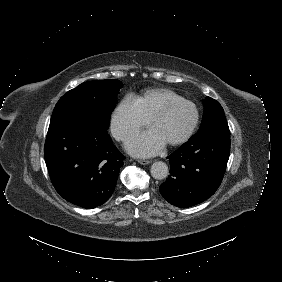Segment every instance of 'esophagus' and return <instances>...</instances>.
Wrapping results in <instances>:
<instances>
[{
  "label": "esophagus",
  "mask_w": 282,
  "mask_h": 282,
  "mask_svg": "<svg viewBox=\"0 0 282 282\" xmlns=\"http://www.w3.org/2000/svg\"><path fill=\"white\" fill-rule=\"evenodd\" d=\"M138 163H140L142 165H147V164H150L151 161H149V160H138Z\"/></svg>",
  "instance_id": "1"
}]
</instances>
